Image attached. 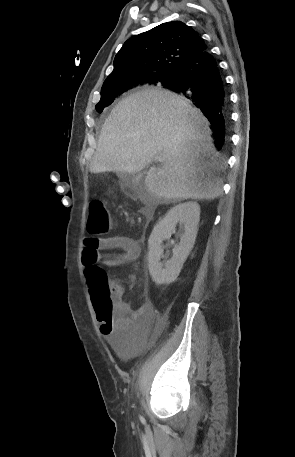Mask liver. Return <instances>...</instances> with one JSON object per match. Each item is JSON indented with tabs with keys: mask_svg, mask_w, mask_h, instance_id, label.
<instances>
[{
	"mask_svg": "<svg viewBox=\"0 0 295 457\" xmlns=\"http://www.w3.org/2000/svg\"><path fill=\"white\" fill-rule=\"evenodd\" d=\"M209 122L188 100L163 89H146L122 99L105 120L91 173L143 170L145 186L164 200H209L221 193L220 168Z\"/></svg>",
	"mask_w": 295,
	"mask_h": 457,
	"instance_id": "liver-1",
	"label": "liver"
}]
</instances>
